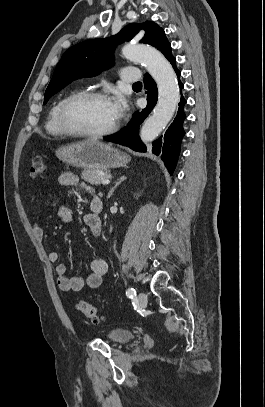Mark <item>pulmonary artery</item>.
Segmentation results:
<instances>
[{
  "instance_id": "e3ab8cb5",
  "label": "pulmonary artery",
  "mask_w": 265,
  "mask_h": 407,
  "mask_svg": "<svg viewBox=\"0 0 265 407\" xmlns=\"http://www.w3.org/2000/svg\"><path fill=\"white\" fill-rule=\"evenodd\" d=\"M140 79V72L135 67L126 66L121 71V80L125 83H138Z\"/></svg>"
}]
</instances>
